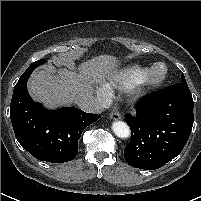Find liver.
I'll return each instance as SVG.
<instances>
[{
    "label": "liver",
    "instance_id": "1",
    "mask_svg": "<svg viewBox=\"0 0 201 201\" xmlns=\"http://www.w3.org/2000/svg\"><path fill=\"white\" fill-rule=\"evenodd\" d=\"M117 59L111 55L92 58L79 67V73L53 66L37 70L28 82V90L35 101L48 108L69 105L81 95H90L92 85L114 73Z\"/></svg>",
    "mask_w": 201,
    "mask_h": 201
}]
</instances>
